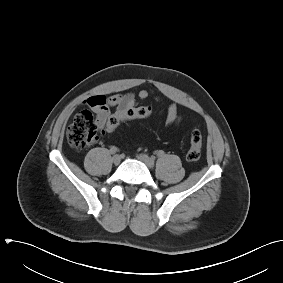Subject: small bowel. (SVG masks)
I'll return each instance as SVG.
<instances>
[{
    "instance_id": "c3829d8e",
    "label": "small bowel",
    "mask_w": 283,
    "mask_h": 283,
    "mask_svg": "<svg viewBox=\"0 0 283 283\" xmlns=\"http://www.w3.org/2000/svg\"><path fill=\"white\" fill-rule=\"evenodd\" d=\"M148 96V91L144 89L140 90L137 95L132 92L115 94L108 97L104 95H94L87 98L84 104L95 113L97 127L102 130L108 118L112 115L111 108H115V112H121L137 106V100H145ZM157 100L160 101V98H157ZM179 120L177 105L172 103L167 109L165 123L167 126H173L176 125Z\"/></svg>"
}]
</instances>
